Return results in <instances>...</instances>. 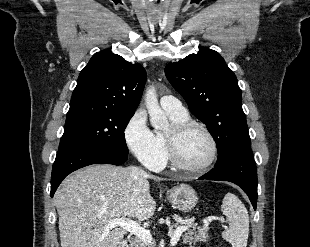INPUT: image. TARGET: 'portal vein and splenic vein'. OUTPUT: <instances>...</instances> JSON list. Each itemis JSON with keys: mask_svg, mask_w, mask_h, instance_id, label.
Instances as JSON below:
<instances>
[{"mask_svg": "<svg viewBox=\"0 0 310 247\" xmlns=\"http://www.w3.org/2000/svg\"><path fill=\"white\" fill-rule=\"evenodd\" d=\"M120 226L124 230L134 234L136 237L141 239L143 242L147 244L152 243V235L150 234L149 230L142 228L137 222L120 218V219H113L106 225V230H110ZM187 230V227H178L172 235H170V244L171 246H175L179 241L182 233Z\"/></svg>", "mask_w": 310, "mask_h": 247, "instance_id": "obj_1", "label": "portal vein and splenic vein"}]
</instances>
